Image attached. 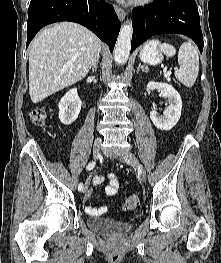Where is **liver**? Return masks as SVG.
Returning a JSON list of instances; mask_svg holds the SVG:
<instances>
[{
	"instance_id": "1",
	"label": "liver",
	"mask_w": 221,
	"mask_h": 263,
	"mask_svg": "<svg viewBox=\"0 0 221 263\" xmlns=\"http://www.w3.org/2000/svg\"><path fill=\"white\" fill-rule=\"evenodd\" d=\"M101 42L87 28L61 22L31 42L29 95L33 103L81 81L99 58Z\"/></svg>"
}]
</instances>
